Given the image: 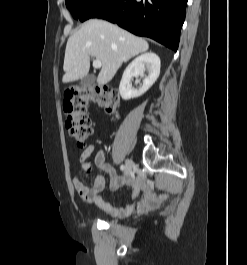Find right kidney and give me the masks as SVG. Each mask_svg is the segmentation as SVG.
Segmentation results:
<instances>
[{
	"label": "right kidney",
	"mask_w": 247,
	"mask_h": 265,
	"mask_svg": "<svg viewBox=\"0 0 247 265\" xmlns=\"http://www.w3.org/2000/svg\"><path fill=\"white\" fill-rule=\"evenodd\" d=\"M145 70L148 75L145 76L143 84L135 89L132 87L131 80L135 76H144ZM160 74V59L152 52L145 53L134 59L125 69L120 85L119 92L124 100L136 98L143 95L157 80Z\"/></svg>",
	"instance_id": "1"
}]
</instances>
